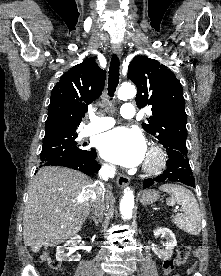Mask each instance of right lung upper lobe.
<instances>
[{
  "mask_svg": "<svg viewBox=\"0 0 221 276\" xmlns=\"http://www.w3.org/2000/svg\"><path fill=\"white\" fill-rule=\"evenodd\" d=\"M106 71L89 58L65 72L51 92L45 134L76 132L88 105L104 88Z\"/></svg>",
  "mask_w": 221,
  "mask_h": 276,
  "instance_id": "cb5924a9",
  "label": "right lung upper lobe"
}]
</instances>
